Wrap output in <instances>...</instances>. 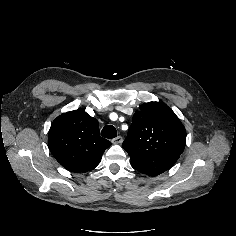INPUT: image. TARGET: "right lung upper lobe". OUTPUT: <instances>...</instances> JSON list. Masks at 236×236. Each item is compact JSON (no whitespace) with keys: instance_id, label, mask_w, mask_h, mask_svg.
<instances>
[{"instance_id":"right-lung-upper-lobe-1","label":"right lung upper lobe","mask_w":236,"mask_h":236,"mask_svg":"<svg viewBox=\"0 0 236 236\" xmlns=\"http://www.w3.org/2000/svg\"><path fill=\"white\" fill-rule=\"evenodd\" d=\"M110 145V141L100 137L98 121L84 109L58 116L48 136L52 155L65 169L75 173L94 169Z\"/></svg>"}]
</instances>
